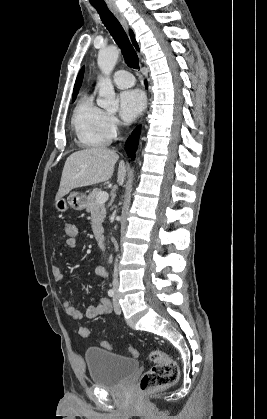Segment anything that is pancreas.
Wrapping results in <instances>:
<instances>
[{
	"mask_svg": "<svg viewBox=\"0 0 267 419\" xmlns=\"http://www.w3.org/2000/svg\"><path fill=\"white\" fill-rule=\"evenodd\" d=\"M100 192L101 190L98 188H95L94 190H92V192H90V194L87 197V205H86L87 211L91 213V217H92L91 225H92V230L96 239H98L103 232L102 223L106 217L105 204L97 202V195Z\"/></svg>",
	"mask_w": 267,
	"mask_h": 419,
	"instance_id": "cf45deb5",
	"label": "pancreas"
}]
</instances>
